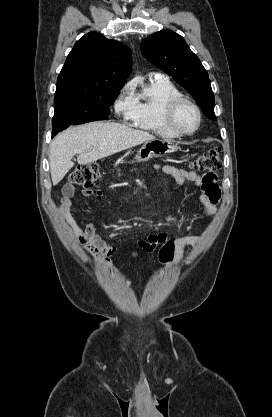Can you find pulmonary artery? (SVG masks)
<instances>
[{
    "mask_svg": "<svg viewBox=\"0 0 272 417\" xmlns=\"http://www.w3.org/2000/svg\"><path fill=\"white\" fill-rule=\"evenodd\" d=\"M154 76H155V77H160L161 75H160V74H154Z\"/></svg>",
    "mask_w": 272,
    "mask_h": 417,
    "instance_id": "e3ab8cb5",
    "label": "pulmonary artery"
}]
</instances>
